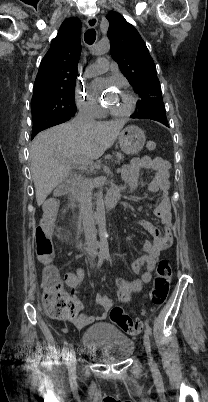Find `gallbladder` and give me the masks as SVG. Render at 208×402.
<instances>
[{
	"instance_id": "gallbladder-1",
	"label": "gallbladder",
	"mask_w": 208,
	"mask_h": 402,
	"mask_svg": "<svg viewBox=\"0 0 208 402\" xmlns=\"http://www.w3.org/2000/svg\"><path fill=\"white\" fill-rule=\"evenodd\" d=\"M70 188H71L70 181H59L58 186L55 187L54 196L65 195L66 190H70Z\"/></svg>"
}]
</instances>
